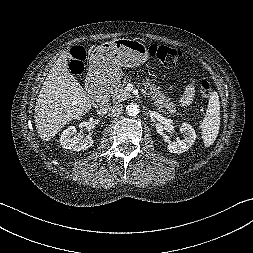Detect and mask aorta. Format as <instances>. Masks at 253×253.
<instances>
[{
    "label": "aorta",
    "instance_id": "aorta-1",
    "mask_svg": "<svg viewBox=\"0 0 253 253\" xmlns=\"http://www.w3.org/2000/svg\"><path fill=\"white\" fill-rule=\"evenodd\" d=\"M129 116H137L139 114V106L136 103H131L126 107Z\"/></svg>",
    "mask_w": 253,
    "mask_h": 253
}]
</instances>
